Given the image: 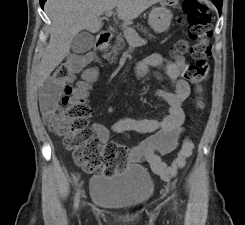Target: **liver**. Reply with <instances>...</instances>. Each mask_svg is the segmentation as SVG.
<instances>
[{
	"label": "liver",
	"instance_id": "1",
	"mask_svg": "<svg viewBox=\"0 0 245 225\" xmlns=\"http://www.w3.org/2000/svg\"><path fill=\"white\" fill-rule=\"evenodd\" d=\"M164 0H48L45 12L49 16L50 40L38 69V84L42 85L51 72L69 54L73 38L81 31L97 33L102 27L99 17L117 9L124 21L136 19L150 6Z\"/></svg>",
	"mask_w": 245,
	"mask_h": 225
}]
</instances>
